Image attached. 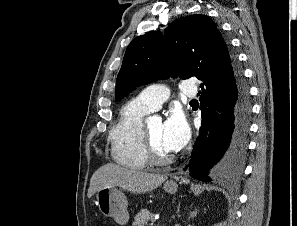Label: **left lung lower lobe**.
Instances as JSON below:
<instances>
[{
  "instance_id": "0a47b994",
  "label": "left lung lower lobe",
  "mask_w": 297,
  "mask_h": 226,
  "mask_svg": "<svg viewBox=\"0 0 297 226\" xmlns=\"http://www.w3.org/2000/svg\"><path fill=\"white\" fill-rule=\"evenodd\" d=\"M233 72L200 86L203 120L188 167L190 175L201 181L211 180L207 176L208 170L220 159L227 182L237 181L242 174L251 104L236 59Z\"/></svg>"
}]
</instances>
